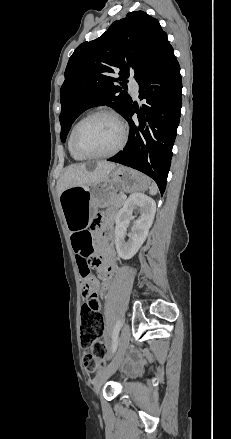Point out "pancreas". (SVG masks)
I'll use <instances>...</instances> for the list:
<instances>
[{
  "label": "pancreas",
  "mask_w": 231,
  "mask_h": 439,
  "mask_svg": "<svg viewBox=\"0 0 231 439\" xmlns=\"http://www.w3.org/2000/svg\"><path fill=\"white\" fill-rule=\"evenodd\" d=\"M124 199L122 198V194H116L110 198L111 204L116 207H121L124 204Z\"/></svg>",
  "instance_id": "cf45deb5"
}]
</instances>
